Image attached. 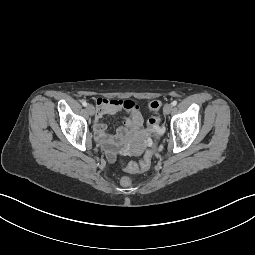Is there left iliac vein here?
Listing matches in <instances>:
<instances>
[{"instance_id":"obj_1","label":"left iliac vein","mask_w":255,"mask_h":255,"mask_svg":"<svg viewBox=\"0 0 255 255\" xmlns=\"http://www.w3.org/2000/svg\"><path fill=\"white\" fill-rule=\"evenodd\" d=\"M172 109H173V105L172 104H166L164 106L163 112H164L165 115H168V114L171 113Z\"/></svg>"}]
</instances>
